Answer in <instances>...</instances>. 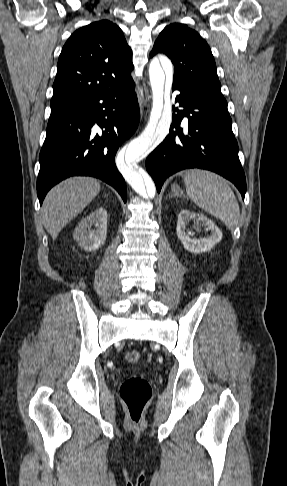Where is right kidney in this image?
<instances>
[{
    "instance_id": "1",
    "label": "right kidney",
    "mask_w": 287,
    "mask_h": 486,
    "mask_svg": "<svg viewBox=\"0 0 287 486\" xmlns=\"http://www.w3.org/2000/svg\"><path fill=\"white\" fill-rule=\"evenodd\" d=\"M95 226V229H92ZM107 235V211L99 207L84 217L74 230L73 238L86 251L101 247Z\"/></svg>"
}]
</instances>
